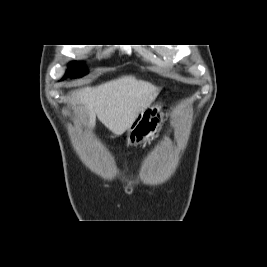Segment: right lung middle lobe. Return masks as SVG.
Here are the masks:
<instances>
[{
    "instance_id": "1",
    "label": "right lung middle lobe",
    "mask_w": 267,
    "mask_h": 267,
    "mask_svg": "<svg viewBox=\"0 0 267 267\" xmlns=\"http://www.w3.org/2000/svg\"><path fill=\"white\" fill-rule=\"evenodd\" d=\"M69 73L71 74L72 77L76 78V77H81L84 74H86V70H85L84 66L81 65L80 63L73 62L69 65V70L67 72V75Z\"/></svg>"
}]
</instances>
